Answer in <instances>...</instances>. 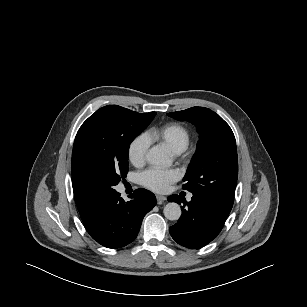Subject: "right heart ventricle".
I'll use <instances>...</instances> for the list:
<instances>
[{
	"instance_id": "right-heart-ventricle-1",
	"label": "right heart ventricle",
	"mask_w": 307,
	"mask_h": 307,
	"mask_svg": "<svg viewBox=\"0 0 307 307\" xmlns=\"http://www.w3.org/2000/svg\"><path fill=\"white\" fill-rule=\"evenodd\" d=\"M149 141L166 145L172 152L180 154L186 150L190 142L188 128L180 123H169L152 128L145 134Z\"/></svg>"
}]
</instances>
